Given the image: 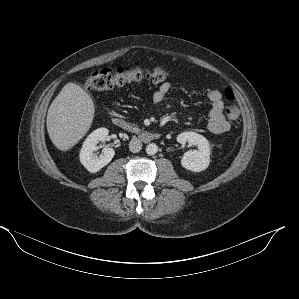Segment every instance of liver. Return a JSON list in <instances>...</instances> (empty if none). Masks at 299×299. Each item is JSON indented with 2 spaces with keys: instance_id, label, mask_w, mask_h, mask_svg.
<instances>
[{
  "instance_id": "liver-1",
  "label": "liver",
  "mask_w": 299,
  "mask_h": 299,
  "mask_svg": "<svg viewBox=\"0 0 299 299\" xmlns=\"http://www.w3.org/2000/svg\"><path fill=\"white\" fill-rule=\"evenodd\" d=\"M95 113L90 95L79 85L67 83L47 113L48 135L61 151L70 150L88 132Z\"/></svg>"
}]
</instances>
